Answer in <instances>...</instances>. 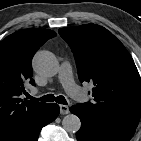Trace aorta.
<instances>
[{"label": "aorta", "instance_id": "1", "mask_svg": "<svg viewBox=\"0 0 141 141\" xmlns=\"http://www.w3.org/2000/svg\"><path fill=\"white\" fill-rule=\"evenodd\" d=\"M34 70L43 76H55L59 69V64L56 57L49 51H38L33 57ZM64 130L69 133H76L81 127V121L74 114L66 115L62 120Z\"/></svg>", "mask_w": 141, "mask_h": 141}]
</instances>
